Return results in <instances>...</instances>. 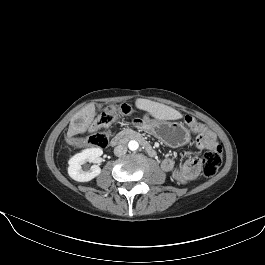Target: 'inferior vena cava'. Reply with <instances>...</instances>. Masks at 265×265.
I'll use <instances>...</instances> for the list:
<instances>
[{
	"label": "inferior vena cava",
	"instance_id": "obj_1",
	"mask_svg": "<svg viewBox=\"0 0 265 265\" xmlns=\"http://www.w3.org/2000/svg\"><path fill=\"white\" fill-rule=\"evenodd\" d=\"M126 152H127V146H125V145H117L114 148V154L117 157H121V156L125 155Z\"/></svg>",
	"mask_w": 265,
	"mask_h": 265
}]
</instances>
